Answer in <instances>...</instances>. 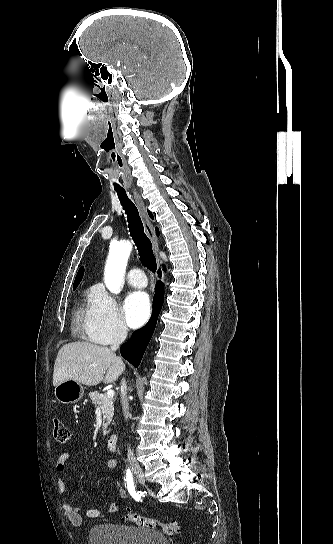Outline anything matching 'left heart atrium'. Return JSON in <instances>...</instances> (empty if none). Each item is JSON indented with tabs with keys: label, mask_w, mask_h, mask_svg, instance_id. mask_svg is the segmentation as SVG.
<instances>
[{
	"label": "left heart atrium",
	"mask_w": 333,
	"mask_h": 544,
	"mask_svg": "<svg viewBox=\"0 0 333 544\" xmlns=\"http://www.w3.org/2000/svg\"><path fill=\"white\" fill-rule=\"evenodd\" d=\"M123 313L126 323L131 328H138L143 325L150 314L148 295L141 291L129 294L124 302Z\"/></svg>",
	"instance_id": "1"
}]
</instances>
